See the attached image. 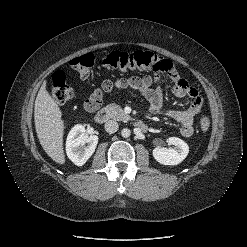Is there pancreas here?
I'll return each mask as SVG.
<instances>
[{"instance_id":"obj_1","label":"pancreas","mask_w":247,"mask_h":247,"mask_svg":"<svg viewBox=\"0 0 247 247\" xmlns=\"http://www.w3.org/2000/svg\"><path fill=\"white\" fill-rule=\"evenodd\" d=\"M105 112L108 118L118 121H127L130 117L124 112V110L117 104L112 103L105 107Z\"/></svg>"}]
</instances>
